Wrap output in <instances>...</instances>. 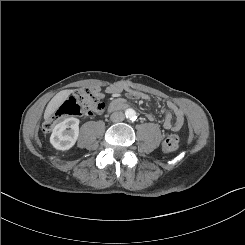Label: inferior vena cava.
Instances as JSON below:
<instances>
[{"mask_svg":"<svg viewBox=\"0 0 245 245\" xmlns=\"http://www.w3.org/2000/svg\"><path fill=\"white\" fill-rule=\"evenodd\" d=\"M111 121L113 122H120L124 120L123 112H114L110 116Z\"/></svg>","mask_w":245,"mask_h":245,"instance_id":"1","label":"inferior vena cava"}]
</instances>
